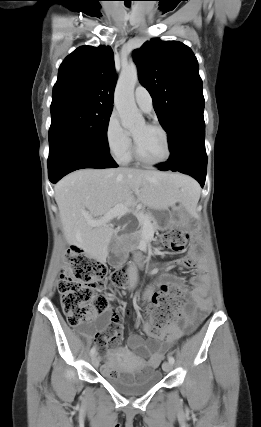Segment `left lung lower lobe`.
I'll list each match as a JSON object with an SVG mask.
<instances>
[{
	"label": "left lung lower lobe",
	"instance_id": "1",
	"mask_svg": "<svg viewBox=\"0 0 261 427\" xmlns=\"http://www.w3.org/2000/svg\"><path fill=\"white\" fill-rule=\"evenodd\" d=\"M170 158L158 166L161 171H179L194 177L203 187L206 179L204 118H188L169 135Z\"/></svg>",
	"mask_w": 261,
	"mask_h": 427
}]
</instances>
